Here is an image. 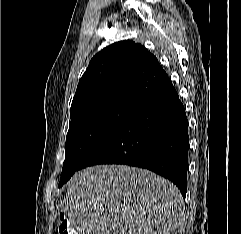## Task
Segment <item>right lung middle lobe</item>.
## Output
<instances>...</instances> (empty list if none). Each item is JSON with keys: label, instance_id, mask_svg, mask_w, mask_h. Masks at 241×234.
Wrapping results in <instances>:
<instances>
[{"label": "right lung middle lobe", "instance_id": "1", "mask_svg": "<svg viewBox=\"0 0 241 234\" xmlns=\"http://www.w3.org/2000/svg\"><path fill=\"white\" fill-rule=\"evenodd\" d=\"M135 106L125 101H109L80 108L70 113L65 161L58 187L66 183L90 150Z\"/></svg>", "mask_w": 241, "mask_h": 234}]
</instances>
